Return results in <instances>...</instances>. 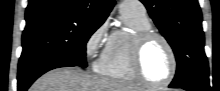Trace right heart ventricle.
Returning <instances> with one entry per match:
<instances>
[{
	"label": "right heart ventricle",
	"mask_w": 220,
	"mask_h": 91,
	"mask_svg": "<svg viewBox=\"0 0 220 91\" xmlns=\"http://www.w3.org/2000/svg\"><path fill=\"white\" fill-rule=\"evenodd\" d=\"M127 28L114 31L107 42L98 63L101 75L127 83H137L130 65V47L133 38L151 30L147 17H138L132 14H122Z\"/></svg>",
	"instance_id": "obj_1"
}]
</instances>
